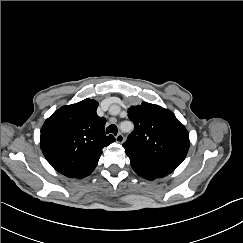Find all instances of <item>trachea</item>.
<instances>
[{"instance_id": "1", "label": "trachea", "mask_w": 243, "mask_h": 243, "mask_svg": "<svg viewBox=\"0 0 243 243\" xmlns=\"http://www.w3.org/2000/svg\"><path fill=\"white\" fill-rule=\"evenodd\" d=\"M106 133L107 134L108 133H112V134L116 135L117 134V127H116V125H109L107 127V129H106Z\"/></svg>"}]
</instances>
